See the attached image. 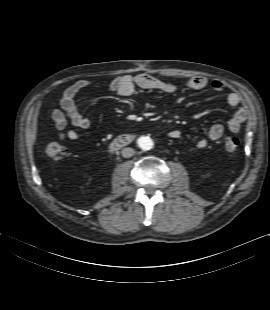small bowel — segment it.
I'll list each match as a JSON object with an SVG mask.
<instances>
[{
    "mask_svg": "<svg viewBox=\"0 0 270 310\" xmlns=\"http://www.w3.org/2000/svg\"><path fill=\"white\" fill-rule=\"evenodd\" d=\"M207 85L208 80L205 77L195 76L187 81L185 88L188 90H202ZM98 87L100 86L91 81L80 80L66 89L60 100L59 107L52 113V119L56 129L59 131L58 136L61 140L76 141L79 138V134L75 129H67V120L77 129L85 130L89 128L90 120L78 111L75 99L85 90ZM101 87L115 92L120 97L131 96L137 88L159 90L165 93H175L180 90L179 86L146 73L116 76ZM211 87L217 92H223L226 89V85L219 80L213 81ZM226 101L229 106L236 108L227 122L226 129L231 133H237L246 121L248 112L241 106V98L237 92H229L226 96ZM224 131V125L214 124L208 130V138L212 141L219 140L223 136ZM169 136L172 139H179L181 132L173 129L169 132ZM206 146L207 139L202 138L197 141L198 148H205Z\"/></svg>",
    "mask_w": 270,
    "mask_h": 310,
    "instance_id": "obj_1",
    "label": "small bowel"
}]
</instances>
